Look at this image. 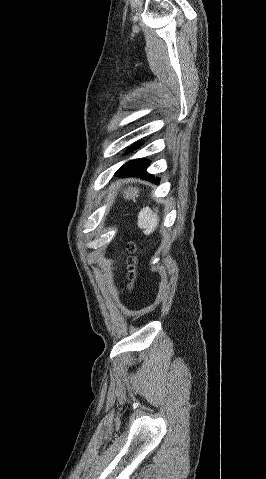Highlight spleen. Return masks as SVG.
I'll return each mask as SVG.
<instances>
[{
	"label": "spleen",
	"mask_w": 266,
	"mask_h": 479,
	"mask_svg": "<svg viewBox=\"0 0 266 479\" xmlns=\"http://www.w3.org/2000/svg\"><path fill=\"white\" fill-rule=\"evenodd\" d=\"M157 212V209L153 212L148 207L143 208L140 211L137 225L139 228L143 229L145 235H150L155 231L159 221Z\"/></svg>",
	"instance_id": "obj_1"
}]
</instances>
